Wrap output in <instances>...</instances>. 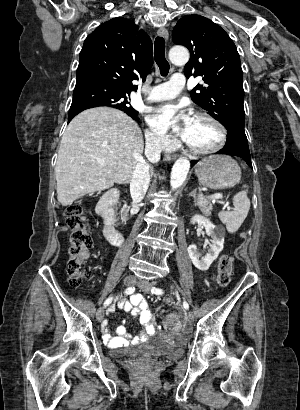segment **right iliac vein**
I'll list each match as a JSON object with an SVG mask.
<instances>
[{
	"label": "right iliac vein",
	"instance_id": "obj_1",
	"mask_svg": "<svg viewBox=\"0 0 300 410\" xmlns=\"http://www.w3.org/2000/svg\"><path fill=\"white\" fill-rule=\"evenodd\" d=\"M136 283V277L134 275H128L124 278V284L126 286H133ZM104 318V309L100 307L96 312V319L101 322Z\"/></svg>",
	"mask_w": 300,
	"mask_h": 410
}]
</instances>
